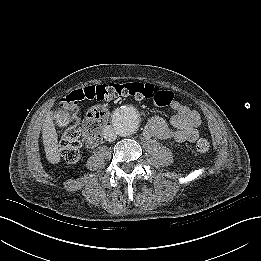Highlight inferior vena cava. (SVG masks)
<instances>
[{"instance_id":"1","label":"inferior vena cava","mask_w":261,"mask_h":261,"mask_svg":"<svg viewBox=\"0 0 261 261\" xmlns=\"http://www.w3.org/2000/svg\"><path fill=\"white\" fill-rule=\"evenodd\" d=\"M103 136L109 142H112L117 138L116 132L114 131L112 126L105 127V129L103 130Z\"/></svg>"}]
</instances>
